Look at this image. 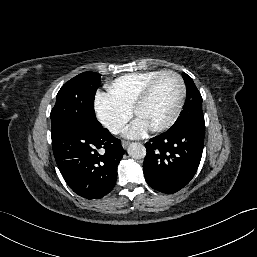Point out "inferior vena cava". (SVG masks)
Returning a JSON list of instances; mask_svg holds the SVG:
<instances>
[{
	"instance_id": "obj_1",
	"label": "inferior vena cava",
	"mask_w": 257,
	"mask_h": 257,
	"mask_svg": "<svg viewBox=\"0 0 257 257\" xmlns=\"http://www.w3.org/2000/svg\"><path fill=\"white\" fill-rule=\"evenodd\" d=\"M109 130L112 134H119L122 130V125L120 123H113L109 126Z\"/></svg>"
}]
</instances>
